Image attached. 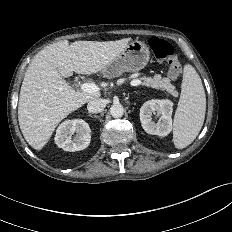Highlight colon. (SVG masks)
Listing matches in <instances>:
<instances>
[{"mask_svg": "<svg viewBox=\"0 0 232 232\" xmlns=\"http://www.w3.org/2000/svg\"><path fill=\"white\" fill-rule=\"evenodd\" d=\"M149 46L157 59L168 63V76L177 79L181 75L182 67L171 43L159 37H152Z\"/></svg>", "mask_w": 232, "mask_h": 232, "instance_id": "obj_1", "label": "colon"}]
</instances>
